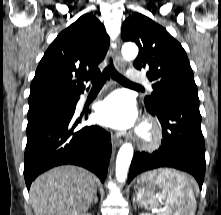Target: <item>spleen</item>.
I'll use <instances>...</instances> for the list:
<instances>
[{"label": "spleen", "mask_w": 221, "mask_h": 215, "mask_svg": "<svg viewBox=\"0 0 221 215\" xmlns=\"http://www.w3.org/2000/svg\"><path fill=\"white\" fill-rule=\"evenodd\" d=\"M156 183L163 189L174 215H194L197 202L193 192L196 184L192 177L166 169L161 171ZM137 200L145 209H155L161 202L158 194L142 190H139Z\"/></svg>", "instance_id": "obj_1"}]
</instances>
